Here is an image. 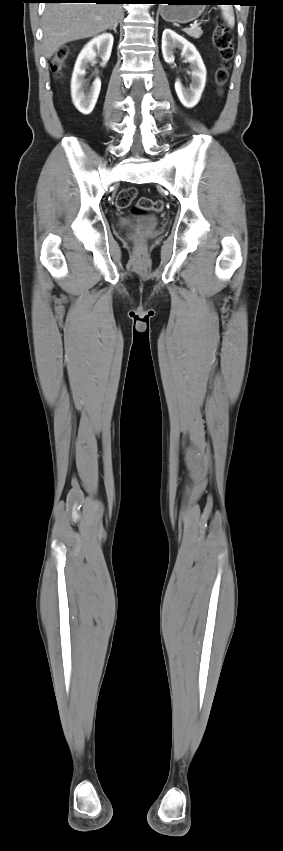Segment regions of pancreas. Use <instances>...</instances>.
Here are the masks:
<instances>
[{
	"label": "pancreas",
	"mask_w": 283,
	"mask_h": 851,
	"mask_svg": "<svg viewBox=\"0 0 283 851\" xmlns=\"http://www.w3.org/2000/svg\"><path fill=\"white\" fill-rule=\"evenodd\" d=\"M184 32L195 39H198L203 33L200 27L185 29Z\"/></svg>",
	"instance_id": "pancreas-1"
}]
</instances>
